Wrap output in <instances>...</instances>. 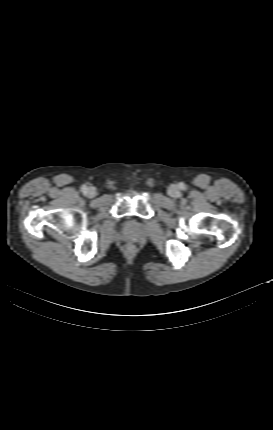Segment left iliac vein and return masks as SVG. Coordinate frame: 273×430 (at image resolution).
<instances>
[{"mask_svg": "<svg viewBox=\"0 0 273 430\" xmlns=\"http://www.w3.org/2000/svg\"><path fill=\"white\" fill-rule=\"evenodd\" d=\"M169 194L172 196V197H175V196H177L178 194H179V191H178V188H177V186H175V185H173V186H171L170 188H169Z\"/></svg>", "mask_w": 273, "mask_h": 430, "instance_id": "obj_1", "label": "left iliac vein"}]
</instances>
